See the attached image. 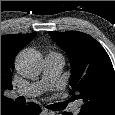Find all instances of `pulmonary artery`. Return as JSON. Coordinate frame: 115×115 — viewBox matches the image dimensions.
<instances>
[{"mask_svg":"<svg viewBox=\"0 0 115 115\" xmlns=\"http://www.w3.org/2000/svg\"><path fill=\"white\" fill-rule=\"evenodd\" d=\"M64 66V58L60 53L50 52L46 55L44 61V71L42 80L36 83L25 85L16 90L17 95L24 97H34L41 94L44 90L52 87ZM81 103L76 102L71 106L74 113L79 112Z\"/></svg>","mask_w":115,"mask_h":115,"instance_id":"obj_1","label":"pulmonary artery"}]
</instances>
